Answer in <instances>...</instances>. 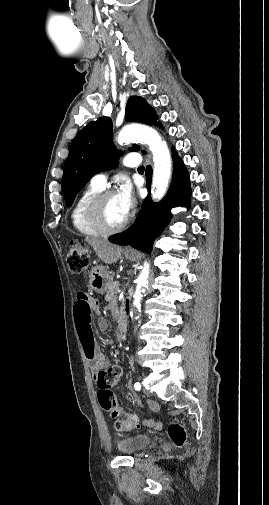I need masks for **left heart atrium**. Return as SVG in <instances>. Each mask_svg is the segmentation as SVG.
Segmentation results:
<instances>
[{
    "label": "left heart atrium",
    "mask_w": 269,
    "mask_h": 505,
    "mask_svg": "<svg viewBox=\"0 0 269 505\" xmlns=\"http://www.w3.org/2000/svg\"><path fill=\"white\" fill-rule=\"evenodd\" d=\"M115 198L122 213L128 217L136 203L131 185L128 182L123 183L115 193Z\"/></svg>",
    "instance_id": "1"
}]
</instances>
